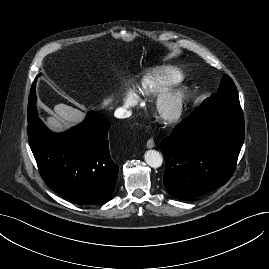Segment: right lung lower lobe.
I'll return each instance as SVG.
<instances>
[{
	"label": "right lung lower lobe",
	"instance_id": "obj_1",
	"mask_svg": "<svg viewBox=\"0 0 269 269\" xmlns=\"http://www.w3.org/2000/svg\"><path fill=\"white\" fill-rule=\"evenodd\" d=\"M109 128L107 120L93 111L81 124L60 134L50 132L38 117L28 122L29 144L47 185L76 203L107 202L118 176L109 152Z\"/></svg>",
	"mask_w": 269,
	"mask_h": 269
}]
</instances>
